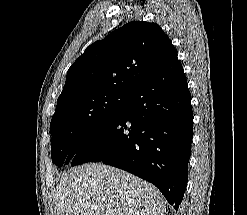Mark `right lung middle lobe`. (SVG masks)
Segmentation results:
<instances>
[{
  "label": "right lung middle lobe",
  "instance_id": "right-lung-middle-lobe-1",
  "mask_svg": "<svg viewBox=\"0 0 247 215\" xmlns=\"http://www.w3.org/2000/svg\"><path fill=\"white\" fill-rule=\"evenodd\" d=\"M130 97L103 92L61 102L50 123L52 161L61 167L80 139L120 114Z\"/></svg>",
  "mask_w": 247,
  "mask_h": 215
}]
</instances>
